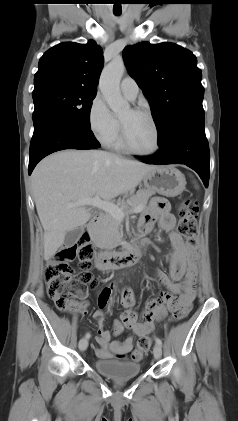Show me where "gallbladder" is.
<instances>
[{"label": "gallbladder", "instance_id": "bac80fb5", "mask_svg": "<svg viewBox=\"0 0 238 421\" xmlns=\"http://www.w3.org/2000/svg\"><path fill=\"white\" fill-rule=\"evenodd\" d=\"M82 233L83 227L81 226L72 231L67 232L64 240L65 245L68 247L73 246L78 241Z\"/></svg>", "mask_w": 238, "mask_h": 421}]
</instances>
